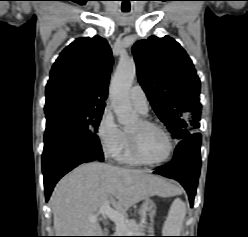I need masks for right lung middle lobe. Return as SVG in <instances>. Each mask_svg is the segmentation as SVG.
I'll list each match as a JSON object with an SVG mask.
<instances>
[{
	"instance_id": "dd1d6c3e",
	"label": "right lung middle lobe",
	"mask_w": 248,
	"mask_h": 237,
	"mask_svg": "<svg viewBox=\"0 0 248 237\" xmlns=\"http://www.w3.org/2000/svg\"><path fill=\"white\" fill-rule=\"evenodd\" d=\"M104 106L103 102L77 98H58L46 101V129L96 135Z\"/></svg>"
}]
</instances>
